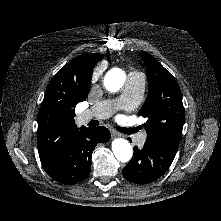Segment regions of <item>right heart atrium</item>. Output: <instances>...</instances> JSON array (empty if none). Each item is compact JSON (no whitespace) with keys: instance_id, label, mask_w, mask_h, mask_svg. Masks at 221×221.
I'll use <instances>...</instances> for the list:
<instances>
[{"instance_id":"d8ad5b80","label":"right heart atrium","mask_w":221,"mask_h":221,"mask_svg":"<svg viewBox=\"0 0 221 221\" xmlns=\"http://www.w3.org/2000/svg\"><path fill=\"white\" fill-rule=\"evenodd\" d=\"M101 75H102V68L101 67L95 68L91 77L92 82L97 81L101 77Z\"/></svg>"}]
</instances>
